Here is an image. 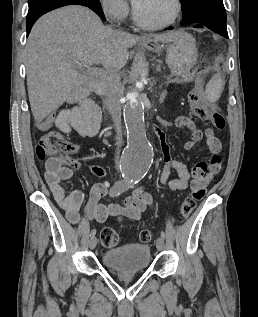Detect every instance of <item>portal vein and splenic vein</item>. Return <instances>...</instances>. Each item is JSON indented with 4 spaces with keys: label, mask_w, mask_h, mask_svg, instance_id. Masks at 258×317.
Segmentation results:
<instances>
[{
    "label": "portal vein and splenic vein",
    "mask_w": 258,
    "mask_h": 317,
    "mask_svg": "<svg viewBox=\"0 0 258 317\" xmlns=\"http://www.w3.org/2000/svg\"><path fill=\"white\" fill-rule=\"evenodd\" d=\"M78 68H82V66H86V64H84V62H79V60H75ZM90 72L89 74H98V72H100V68H90V66H88Z\"/></svg>",
    "instance_id": "portal-vein-and-splenic-vein-1"
}]
</instances>
